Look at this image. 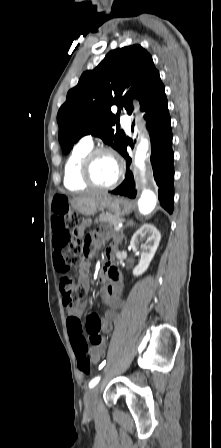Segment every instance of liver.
<instances>
[{"label":"liver","mask_w":221,"mask_h":448,"mask_svg":"<svg viewBox=\"0 0 221 448\" xmlns=\"http://www.w3.org/2000/svg\"><path fill=\"white\" fill-rule=\"evenodd\" d=\"M104 193H89V194H85L83 196H80L78 198L75 199V202H79V203H83V202H87L90 201L94 198H96L97 196L103 195Z\"/></svg>","instance_id":"obj_1"}]
</instances>
